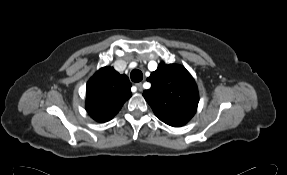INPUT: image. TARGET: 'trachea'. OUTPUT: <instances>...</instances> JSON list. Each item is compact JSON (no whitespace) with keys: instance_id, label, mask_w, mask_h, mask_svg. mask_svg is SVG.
Instances as JSON below:
<instances>
[{"instance_id":"obj_1","label":"trachea","mask_w":287,"mask_h":175,"mask_svg":"<svg viewBox=\"0 0 287 175\" xmlns=\"http://www.w3.org/2000/svg\"><path fill=\"white\" fill-rule=\"evenodd\" d=\"M130 77H131V80L133 82L138 83V82L142 81L143 74H142V72L140 70L134 69V70L131 71Z\"/></svg>"}]
</instances>
